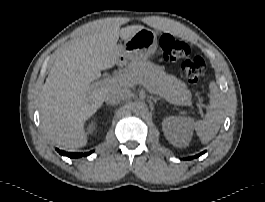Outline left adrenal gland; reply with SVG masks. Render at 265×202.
Returning <instances> with one entry per match:
<instances>
[{
	"mask_svg": "<svg viewBox=\"0 0 265 202\" xmlns=\"http://www.w3.org/2000/svg\"><path fill=\"white\" fill-rule=\"evenodd\" d=\"M159 100H161L160 98H153V102L157 103Z\"/></svg>",
	"mask_w": 265,
	"mask_h": 202,
	"instance_id": "left-adrenal-gland-1",
	"label": "left adrenal gland"
}]
</instances>
